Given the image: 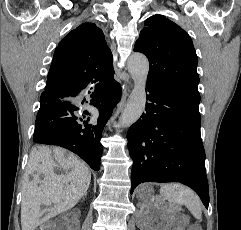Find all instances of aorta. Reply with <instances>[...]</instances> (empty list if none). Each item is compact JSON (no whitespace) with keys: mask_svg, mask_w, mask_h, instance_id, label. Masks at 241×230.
I'll list each match as a JSON object with an SVG mask.
<instances>
[{"mask_svg":"<svg viewBox=\"0 0 241 230\" xmlns=\"http://www.w3.org/2000/svg\"><path fill=\"white\" fill-rule=\"evenodd\" d=\"M127 68L133 79L134 88L120 117V124L124 127H128L135 123L145 109V88L149 72L148 59L143 54H132L128 59Z\"/></svg>","mask_w":241,"mask_h":230,"instance_id":"aorta-1","label":"aorta"}]
</instances>
